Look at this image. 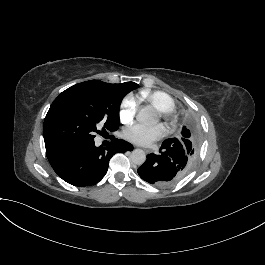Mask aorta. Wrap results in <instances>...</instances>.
Returning <instances> with one entry per match:
<instances>
[{
    "mask_svg": "<svg viewBox=\"0 0 265 265\" xmlns=\"http://www.w3.org/2000/svg\"><path fill=\"white\" fill-rule=\"evenodd\" d=\"M137 120L143 124H152L154 122V114L152 108L146 106L137 114ZM146 160V154L141 149H135L131 153V161L136 165H142Z\"/></svg>",
    "mask_w": 265,
    "mask_h": 265,
    "instance_id": "aorta-1",
    "label": "aorta"
}]
</instances>
